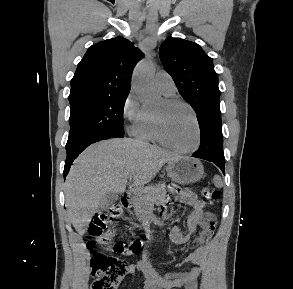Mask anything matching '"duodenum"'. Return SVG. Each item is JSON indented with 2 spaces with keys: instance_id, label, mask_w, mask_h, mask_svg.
Returning <instances> with one entry per match:
<instances>
[{
  "instance_id": "obj_1",
  "label": "duodenum",
  "mask_w": 293,
  "mask_h": 289,
  "mask_svg": "<svg viewBox=\"0 0 293 289\" xmlns=\"http://www.w3.org/2000/svg\"><path fill=\"white\" fill-rule=\"evenodd\" d=\"M130 204H131V193L124 192L120 197V205L126 209L130 206Z\"/></svg>"
}]
</instances>
